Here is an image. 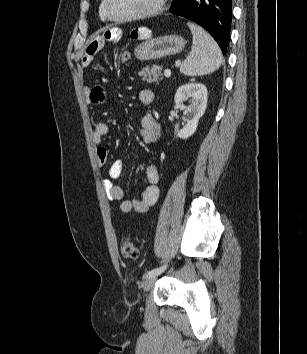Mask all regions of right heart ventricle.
Listing matches in <instances>:
<instances>
[{
	"label": "right heart ventricle",
	"instance_id": "obj_1",
	"mask_svg": "<svg viewBox=\"0 0 307 354\" xmlns=\"http://www.w3.org/2000/svg\"><path fill=\"white\" fill-rule=\"evenodd\" d=\"M99 16H100L101 20H103V21H107L110 19L105 12L103 0H101L100 4H99Z\"/></svg>",
	"mask_w": 307,
	"mask_h": 354
}]
</instances>
